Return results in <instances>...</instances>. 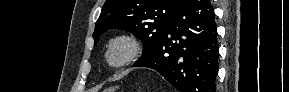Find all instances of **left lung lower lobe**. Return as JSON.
<instances>
[{"instance_id":"0a47b994","label":"left lung lower lobe","mask_w":289,"mask_h":92,"mask_svg":"<svg viewBox=\"0 0 289 92\" xmlns=\"http://www.w3.org/2000/svg\"><path fill=\"white\" fill-rule=\"evenodd\" d=\"M217 27L210 0H184L157 49L133 66L158 71L180 92H215Z\"/></svg>"}]
</instances>
